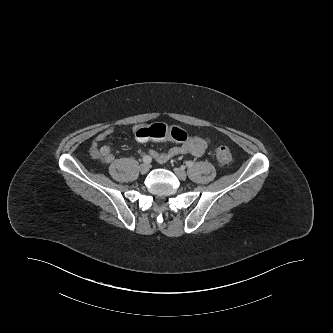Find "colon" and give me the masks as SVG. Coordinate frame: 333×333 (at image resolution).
Returning a JSON list of instances; mask_svg holds the SVG:
<instances>
[{"label": "colon", "instance_id": "obj_1", "mask_svg": "<svg viewBox=\"0 0 333 333\" xmlns=\"http://www.w3.org/2000/svg\"><path fill=\"white\" fill-rule=\"evenodd\" d=\"M135 136L139 141L171 139L183 142L187 139V133L183 129L177 126H167L162 123L141 127L135 132ZM216 157L222 164H228L233 159L231 150L226 146H220L217 149Z\"/></svg>", "mask_w": 333, "mask_h": 333}]
</instances>
